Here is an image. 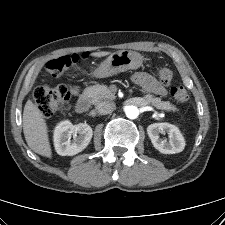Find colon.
I'll return each mask as SVG.
<instances>
[{"label": "colon", "mask_w": 225, "mask_h": 225, "mask_svg": "<svg viewBox=\"0 0 225 225\" xmlns=\"http://www.w3.org/2000/svg\"><path fill=\"white\" fill-rule=\"evenodd\" d=\"M80 58L77 54L61 56L48 61L46 69L52 76L58 77L77 64ZM155 71L162 82L170 83L172 81L173 74L170 69L158 66ZM171 95L179 103H185L189 99L188 92L182 85L173 86L171 88ZM33 98L41 114L45 117H50L66 107L69 91L65 86L52 88L42 85L35 89Z\"/></svg>", "instance_id": "colon-1"}]
</instances>
